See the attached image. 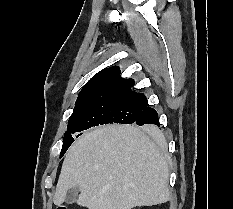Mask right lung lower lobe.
<instances>
[{"label":"right lung lower lobe","instance_id":"obj_1","mask_svg":"<svg viewBox=\"0 0 233 209\" xmlns=\"http://www.w3.org/2000/svg\"><path fill=\"white\" fill-rule=\"evenodd\" d=\"M134 123L152 130L155 127L154 125L159 126L157 112L153 108L146 106Z\"/></svg>","mask_w":233,"mask_h":209}]
</instances>
